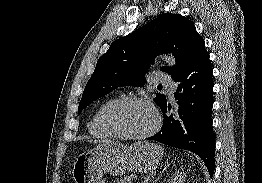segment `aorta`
I'll return each mask as SVG.
<instances>
[{
  "label": "aorta",
  "instance_id": "1",
  "mask_svg": "<svg viewBox=\"0 0 262 183\" xmlns=\"http://www.w3.org/2000/svg\"><path fill=\"white\" fill-rule=\"evenodd\" d=\"M162 60H164L168 65L175 64V60L171 55H163L161 56Z\"/></svg>",
  "mask_w": 262,
  "mask_h": 183
}]
</instances>
